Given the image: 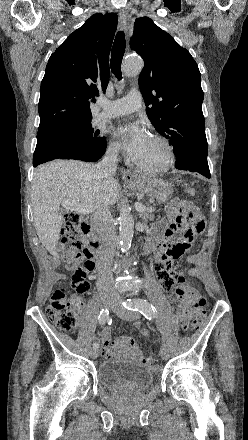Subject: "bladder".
Masks as SVG:
<instances>
[{
    "label": "bladder",
    "mask_w": 248,
    "mask_h": 440,
    "mask_svg": "<svg viewBox=\"0 0 248 440\" xmlns=\"http://www.w3.org/2000/svg\"><path fill=\"white\" fill-rule=\"evenodd\" d=\"M99 383L112 390H144L154 381V370L138 362L111 359L101 362L97 368Z\"/></svg>",
    "instance_id": "1"
}]
</instances>
